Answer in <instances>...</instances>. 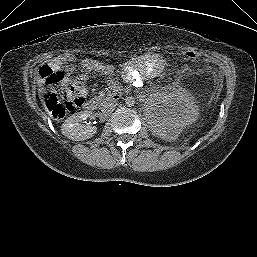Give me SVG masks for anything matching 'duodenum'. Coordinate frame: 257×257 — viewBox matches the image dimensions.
<instances>
[{"instance_id":"410a0bca","label":"duodenum","mask_w":257,"mask_h":257,"mask_svg":"<svg viewBox=\"0 0 257 257\" xmlns=\"http://www.w3.org/2000/svg\"><path fill=\"white\" fill-rule=\"evenodd\" d=\"M121 97V93L119 91H113L111 94H109L105 99H104V103L105 104H112L117 102ZM99 108V104L96 101H88L85 104V109L88 112H94Z\"/></svg>"}]
</instances>
